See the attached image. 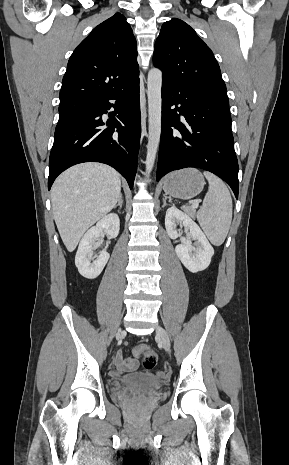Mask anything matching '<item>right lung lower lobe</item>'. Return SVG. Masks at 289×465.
Wrapping results in <instances>:
<instances>
[{
    "label": "right lung lower lobe",
    "instance_id": "right-lung-lower-lobe-1",
    "mask_svg": "<svg viewBox=\"0 0 289 465\" xmlns=\"http://www.w3.org/2000/svg\"><path fill=\"white\" fill-rule=\"evenodd\" d=\"M115 100V104L110 103ZM111 107L109 119H102ZM139 76L123 88L89 101L87 113L56 126L49 158L48 189L72 165L101 162L118 170L133 187L140 143Z\"/></svg>",
    "mask_w": 289,
    "mask_h": 465
}]
</instances>
